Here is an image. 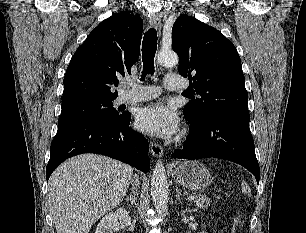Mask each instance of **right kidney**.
I'll return each instance as SVG.
<instances>
[{
  "label": "right kidney",
  "instance_id": "1",
  "mask_svg": "<svg viewBox=\"0 0 306 233\" xmlns=\"http://www.w3.org/2000/svg\"><path fill=\"white\" fill-rule=\"evenodd\" d=\"M120 223L129 226L131 218L125 208H119L115 212L106 214L99 222L95 233H113L112 230L117 229Z\"/></svg>",
  "mask_w": 306,
  "mask_h": 233
}]
</instances>
